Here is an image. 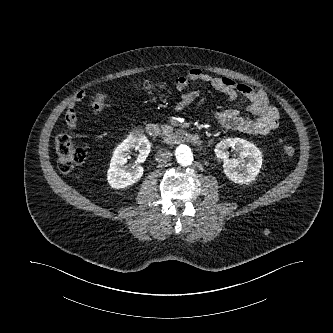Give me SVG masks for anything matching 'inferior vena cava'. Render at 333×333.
<instances>
[{"label":"inferior vena cava","mask_w":333,"mask_h":333,"mask_svg":"<svg viewBox=\"0 0 333 333\" xmlns=\"http://www.w3.org/2000/svg\"><path fill=\"white\" fill-rule=\"evenodd\" d=\"M155 157L158 163H167L171 160L172 154L168 149H160Z\"/></svg>","instance_id":"602c4592"}]
</instances>
